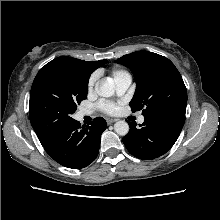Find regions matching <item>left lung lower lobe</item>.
Returning a JSON list of instances; mask_svg holds the SVG:
<instances>
[{
  "label": "left lung lower lobe",
  "instance_id": "left-lung-lower-lobe-1",
  "mask_svg": "<svg viewBox=\"0 0 220 220\" xmlns=\"http://www.w3.org/2000/svg\"><path fill=\"white\" fill-rule=\"evenodd\" d=\"M186 107L178 106L156 110L144 115L140 128L129 123L130 131L122 138L127 150L143 160L157 158L174 145L185 122Z\"/></svg>",
  "mask_w": 220,
  "mask_h": 220
}]
</instances>
